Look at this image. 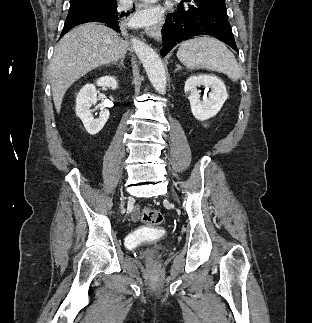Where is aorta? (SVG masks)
<instances>
[{
  "label": "aorta",
  "mask_w": 312,
  "mask_h": 323,
  "mask_svg": "<svg viewBox=\"0 0 312 323\" xmlns=\"http://www.w3.org/2000/svg\"><path fill=\"white\" fill-rule=\"evenodd\" d=\"M130 44L141 64H143L153 88H155L157 92H165V68L158 54H156L150 46H147L145 42H141V40H137V38H133V36H131Z\"/></svg>",
  "instance_id": "1"
}]
</instances>
